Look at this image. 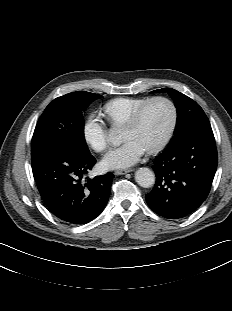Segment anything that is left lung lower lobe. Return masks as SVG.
Instances as JSON below:
<instances>
[{
    "label": "left lung lower lobe",
    "mask_w": 232,
    "mask_h": 311,
    "mask_svg": "<svg viewBox=\"0 0 232 311\" xmlns=\"http://www.w3.org/2000/svg\"><path fill=\"white\" fill-rule=\"evenodd\" d=\"M217 160L210 123L190 129L156 157V184L146 195L148 206L167 219L192 213L208 196Z\"/></svg>",
    "instance_id": "left-lung-lower-lobe-1"
}]
</instances>
